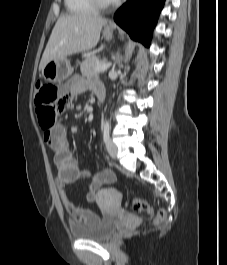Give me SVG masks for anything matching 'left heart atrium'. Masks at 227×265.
I'll return each instance as SVG.
<instances>
[{
  "label": "left heart atrium",
  "mask_w": 227,
  "mask_h": 265,
  "mask_svg": "<svg viewBox=\"0 0 227 265\" xmlns=\"http://www.w3.org/2000/svg\"><path fill=\"white\" fill-rule=\"evenodd\" d=\"M111 2H117V1H119V0H110Z\"/></svg>",
  "instance_id": "1"
}]
</instances>
